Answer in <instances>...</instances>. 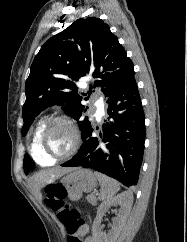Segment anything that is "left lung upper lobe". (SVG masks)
<instances>
[{
	"label": "left lung upper lobe",
	"mask_w": 187,
	"mask_h": 242,
	"mask_svg": "<svg viewBox=\"0 0 187 242\" xmlns=\"http://www.w3.org/2000/svg\"><path fill=\"white\" fill-rule=\"evenodd\" d=\"M134 75L132 61L109 26L95 17L78 19L47 40L34 58L25 83L22 135L43 109L57 104L78 121L84 141L92 126L87 117L80 121L88 107L81 103L76 82L84 76L92 79L90 90L82 93L88 100L93 87L100 86L110 97ZM23 167L26 174L35 167L28 155Z\"/></svg>",
	"instance_id": "1"
}]
</instances>
